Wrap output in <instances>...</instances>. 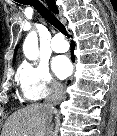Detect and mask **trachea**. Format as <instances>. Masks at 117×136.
I'll use <instances>...</instances> for the list:
<instances>
[{
    "label": "trachea",
    "instance_id": "3493384b",
    "mask_svg": "<svg viewBox=\"0 0 117 136\" xmlns=\"http://www.w3.org/2000/svg\"><path fill=\"white\" fill-rule=\"evenodd\" d=\"M24 5H30L51 25L57 28L62 34L70 38L64 25H62L56 17L39 1V0H21Z\"/></svg>",
    "mask_w": 117,
    "mask_h": 136
}]
</instances>
